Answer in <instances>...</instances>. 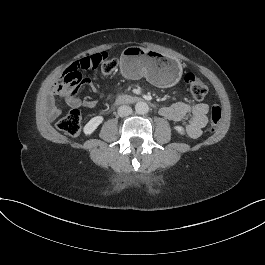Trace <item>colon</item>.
Instances as JSON below:
<instances>
[{
  "label": "colon",
  "mask_w": 265,
  "mask_h": 265,
  "mask_svg": "<svg viewBox=\"0 0 265 265\" xmlns=\"http://www.w3.org/2000/svg\"><path fill=\"white\" fill-rule=\"evenodd\" d=\"M100 66L104 76L113 74L117 68V61L108 58L105 52L95 53L84 57L71 66L63 73L60 85L64 88H75L82 83L81 71ZM185 82L188 84L193 97L197 100L203 99L208 93L206 82L195 74L189 72L185 75ZM221 108L214 105L211 109L210 131H216L221 121ZM57 127L69 136H77L81 131V113L78 109H72L64 117L58 120Z\"/></svg>",
  "instance_id": "5ec220e1"
}]
</instances>
